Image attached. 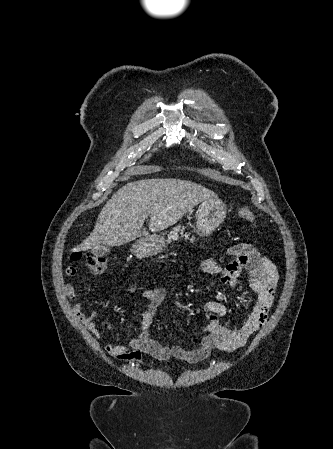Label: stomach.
Masks as SVG:
<instances>
[{"label":"stomach","mask_w":333,"mask_h":449,"mask_svg":"<svg viewBox=\"0 0 333 449\" xmlns=\"http://www.w3.org/2000/svg\"><path fill=\"white\" fill-rule=\"evenodd\" d=\"M226 214V205L218 198L204 200L196 216L197 234L203 237L211 234L224 221ZM166 244L164 237L152 235L138 240L131 252L139 258L154 256L162 252Z\"/></svg>","instance_id":"stomach-1"}]
</instances>
